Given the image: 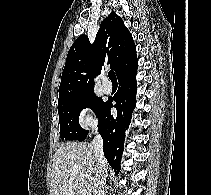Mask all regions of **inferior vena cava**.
<instances>
[{
	"mask_svg": "<svg viewBox=\"0 0 211 195\" xmlns=\"http://www.w3.org/2000/svg\"><path fill=\"white\" fill-rule=\"evenodd\" d=\"M95 159L98 164V174L95 177L94 195H104V189L107 177V162L103 154V139L99 134L93 138Z\"/></svg>",
	"mask_w": 211,
	"mask_h": 195,
	"instance_id": "inferior-vena-cava-1",
	"label": "inferior vena cava"
}]
</instances>
